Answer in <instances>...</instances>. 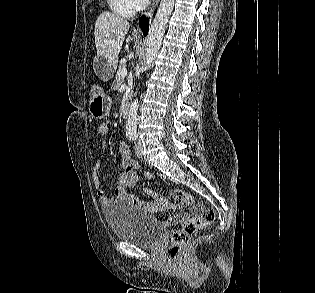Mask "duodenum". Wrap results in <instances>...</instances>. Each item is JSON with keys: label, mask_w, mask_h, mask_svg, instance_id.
Wrapping results in <instances>:
<instances>
[{"label": "duodenum", "mask_w": 315, "mask_h": 293, "mask_svg": "<svg viewBox=\"0 0 315 293\" xmlns=\"http://www.w3.org/2000/svg\"><path fill=\"white\" fill-rule=\"evenodd\" d=\"M130 107H131V102L129 100L124 101L123 105H122V116L124 118H127L130 112Z\"/></svg>", "instance_id": "obj_1"}]
</instances>
